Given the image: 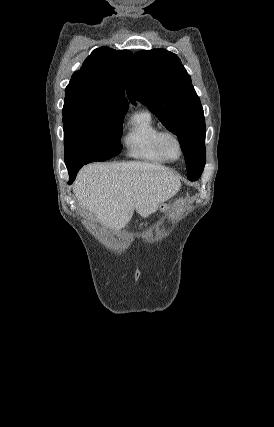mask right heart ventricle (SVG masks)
<instances>
[{
	"label": "right heart ventricle",
	"mask_w": 274,
	"mask_h": 427,
	"mask_svg": "<svg viewBox=\"0 0 274 427\" xmlns=\"http://www.w3.org/2000/svg\"><path fill=\"white\" fill-rule=\"evenodd\" d=\"M160 131L159 125L148 111L135 114L131 127L122 139L126 155L151 164L166 163L157 145Z\"/></svg>",
	"instance_id": "1"
}]
</instances>
